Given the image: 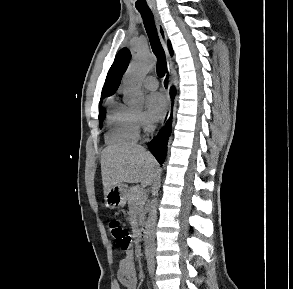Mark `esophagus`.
Masks as SVG:
<instances>
[{"label":"esophagus","mask_w":293,"mask_h":289,"mask_svg":"<svg viewBox=\"0 0 293 289\" xmlns=\"http://www.w3.org/2000/svg\"><path fill=\"white\" fill-rule=\"evenodd\" d=\"M153 13H154V17H155L156 27L158 30V35H159L161 44H162L164 51H165L167 67H168L167 72L164 77V80H163V88H164V91L167 96V111H166L165 116L162 121V127H163V126H165V124L170 116V113H171V100H170V96H169V89H170L171 82H172L173 62H172V58H171L169 51H168L167 34L165 31V28L161 22V19L159 17L158 12L154 9Z\"/></svg>","instance_id":"esophagus-1"}]
</instances>
